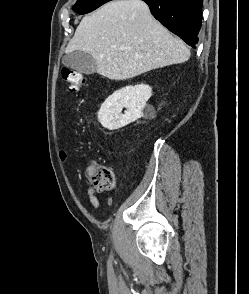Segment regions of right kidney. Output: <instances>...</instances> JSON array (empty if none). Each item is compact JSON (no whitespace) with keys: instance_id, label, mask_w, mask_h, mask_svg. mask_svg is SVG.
Here are the masks:
<instances>
[{"instance_id":"obj_1","label":"right kidney","mask_w":249,"mask_h":294,"mask_svg":"<svg viewBox=\"0 0 249 294\" xmlns=\"http://www.w3.org/2000/svg\"><path fill=\"white\" fill-rule=\"evenodd\" d=\"M151 95L152 89L146 84L126 86L117 90L101 105L98 120L103 127L117 130L141 116H151L154 108L146 105ZM123 108H126L124 114H122Z\"/></svg>"}]
</instances>
